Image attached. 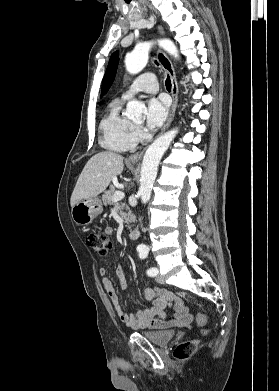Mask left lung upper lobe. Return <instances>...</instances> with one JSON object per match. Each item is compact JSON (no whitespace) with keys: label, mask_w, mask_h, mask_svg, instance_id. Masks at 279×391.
I'll return each mask as SVG.
<instances>
[{"label":"left lung upper lobe","mask_w":279,"mask_h":391,"mask_svg":"<svg viewBox=\"0 0 279 391\" xmlns=\"http://www.w3.org/2000/svg\"><path fill=\"white\" fill-rule=\"evenodd\" d=\"M118 60H119V53L118 51H116L112 54L109 60L108 67L102 81V95L108 91L111 83L114 80L117 66H118Z\"/></svg>","instance_id":"1"}]
</instances>
